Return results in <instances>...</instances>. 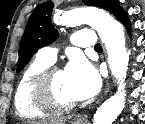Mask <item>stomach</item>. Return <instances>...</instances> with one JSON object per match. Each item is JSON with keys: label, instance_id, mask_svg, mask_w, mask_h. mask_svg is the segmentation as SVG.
<instances>
[{"label": "stomach", "instance_id": "obj_1", "mask_svg": "<svg viewBox=\"0 0 145 124\" xmlns=\"http://www.w3.org/2000/svg\"><path fill=\"white\" fill-rule=\"evenodd\" d=\"M70 124H84L82 121H72Z\"/></svg>", "mask_w": 145, "mask_h": 124}]
</instances>
